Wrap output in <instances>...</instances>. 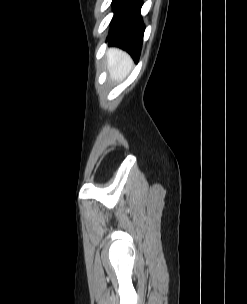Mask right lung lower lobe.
<instances>
[{
  "mask_svg": "<svg viewBox=\"0 0 247 304\" xmlns=\"http://www.w3.org/2000/svg\"><path fill=\"white\" fill-rule=\"evenodd\" d=\"M112 4L115 15L107 42L126 50L137 62L145 29L140 15L142 0H113Z\"/></svg>",
  "mask_w": 247,
  "mask_h": 304,
  "instance_id": "right-lung-lower-lobe-1",
  "label": "right lung lower lobe"
}]
</instances>
